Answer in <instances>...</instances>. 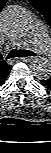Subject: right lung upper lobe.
Segmentation results:
<instances>
[{
	"instance_id": "cb5924a9",
	"label": "right lung upper lobe",
	"mask_w": 51,
	"mask_h": 153,
	"mask_svg": "<svg viewBox=\"0 0 51 153\" xmlns=\"http://www.w3.org/2000/svg\"><path fill=\"white\" fill-rule=\"evenodd\" d=\"M8 0H0V11L2 10V8L4 7L5 3ZM11 65H8L3 59H2V55L0 54V86L2 85V83L4 82V80L6 79V77L8 76L10 70H11Z\"/></svg>"
}]
</instances>
